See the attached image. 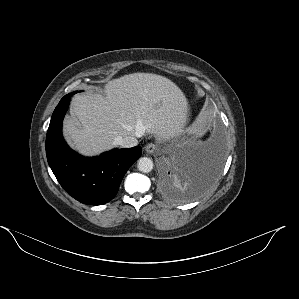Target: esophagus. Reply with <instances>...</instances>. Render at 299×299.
<instances>
[{"label":"esophagus","instance_id":"obj_1","mask_svg":"<svg viewBox=\"0 0 299 299\" xmlns=\"http://www.w3.org/2000/svg\"><path fill=\"white\" fill-rule=\"evenodd\" d=\"M158 150V146L155 144V143H148L146 146H145V151L147 153H155L156 151Z\"/></svg>","mask_w":299,"mask_h":299}]
</instances>
